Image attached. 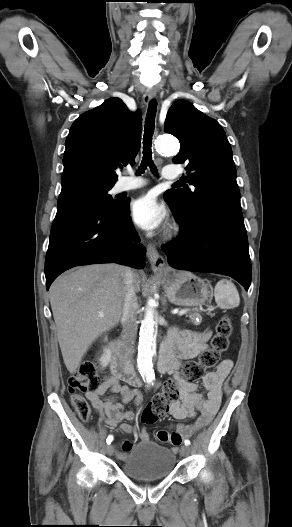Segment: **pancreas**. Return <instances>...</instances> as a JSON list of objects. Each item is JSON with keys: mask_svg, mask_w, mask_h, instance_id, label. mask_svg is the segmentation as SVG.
Segmentation results:
<instances>
[{"mask_svg": "<svg viewBox=\"0 0 292 527\" xmlns=\"http://www.w3.org/2000/svg\"><path fill=\"white\" fill-rule=\"evenodd\" d=\"M188 317L190 318V321L195 325H199L202 321V317L198 312L189 313Z\"/></svg>", "mask_w": 292, "mask_h": 527, "instance_id": "1", "label": "pancreas"}]
</instances>
